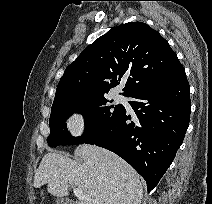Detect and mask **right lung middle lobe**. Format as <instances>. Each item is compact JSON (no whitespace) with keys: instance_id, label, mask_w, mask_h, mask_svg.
Listing matches in <instances>:
<instances>
[{"instance_id":"dd1d6c3e","label":"right lung middle lobe","mask_w":212,"mask_h":204,"mask_svg":"<svg viewBox=\"0 0 212 204\" xmlns=\"http://www.w3.org/2000/svg\"><path fill=\"white\" fill-rule=\"evenodd\" d=\"M107 102L105 96H100L52 109L48 144L51 147L81 144L100 132L124 110L121 104L109 106ZM75 112L85 115V132L81 137H72L66 128V119Z\"/></svg>"}]
</instances>
